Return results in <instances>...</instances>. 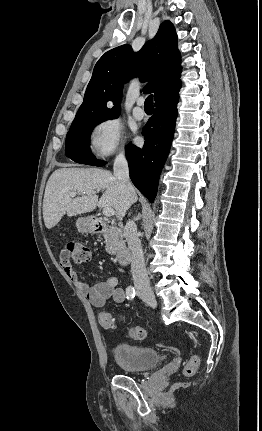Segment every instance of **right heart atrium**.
I'll return each mask as SVG.
<instances>
[{"label":"right heart atrium","instance_id":"1","mask_svg":"<svg viewBox=\"0 0 262 431\" xmlns=\"http://www.w3.org/2000/svg\"><path fill=\"white\" fill-rule=\"evenodd\" d=\"M90 148L99 159L124 153L123 127L116 117H107L99 121L90 135Z\"/></svg>","mask_w":262,"mask_h":431}]
</instances>
